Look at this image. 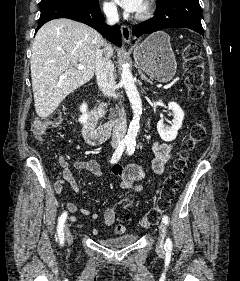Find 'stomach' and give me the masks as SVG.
I'll use <instances>...</instances> for the list:
<instances>
[{"label":"stomach","instance_id":"obj_1","mask_svg":"<svg viewBox=\"0 0 240 281\" xmlns=\"http://www.w3.org/2000/svg\"><path fill=\"white\" fill-rule=\"evenodd\" d=\"M134 58L140 69L159 82L170 81L176 73L177 62L165 32H156L137 45Z\"/></svg>","mask_w":240,"mask_h":281}]
</instances>
